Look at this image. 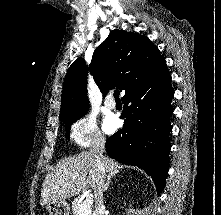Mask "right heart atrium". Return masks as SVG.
Returning <instances> with one entry per match:
<instances>
[{
    "instance_id": "right-heart-atrium-1",
    "label": "right heart atrium",
    "mask_w": 221,
    "mask_h": 215,
    "mask_svg": "<svg viewBox=\"0 0 221 215\" xmlns=\"http://www.w3.org/2000/svg\"><path fill=\"white\" fill-rule=\"evenodd\" d=\"M71 139L79 147L85 148L101 143L103 138L93 114L79 117L71 127Z\"/></svg>"
}]
</instances>
